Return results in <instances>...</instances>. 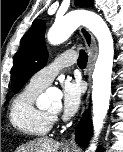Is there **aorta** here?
Listing matches in <instances>:
<instances>
[{"label":"aorta","mask_w":123,"mask_h":152,"mask_svg":"<svg viewBox=\"0 0 123 152\" xmlns=\"http://www.w3.org/2000/svg\"><path fill=\"white\" fill-rule=\"evenodd\" d=\"M85 25L97 38L99 54L95 63L92 79L93 126L97 139L109 109L111 95V75L114 59V42L105 21L97 14L85 11H74L61 19H57L49 29L47 39L50 44L57 45L66 41L80 26ZM53 95L47 92L41 97L42 104L48 106ZM91 151L96 144H91Z\"/></svg>","instance_id":"aorta-1"}]
</instances>
